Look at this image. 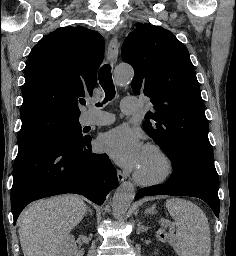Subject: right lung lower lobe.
Here are the masks:
<instances>
[{
	"instance_id": "obj_1",
	"label": "right lung lower lobe",
	"mask_w": 236,
	"mask_h": 256,
	"mask_svg": "<svg viewBox=\"0 0 236 256\" xmlns=\"http://www.w3.org/2000/svg\"><path fill=\"white\" fill-rule=\"evenodd\" d=\"M90 142V136L79 142L54 140L17 155L11 189L14 224L30 202L53 195L82 194L102 205L118 179L109 157L92 153Z\"/></svg>"
}]
</instances>
